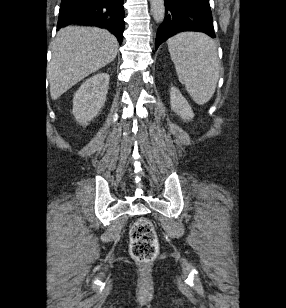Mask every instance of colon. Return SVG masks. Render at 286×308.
Wrapping results in <instances>:
<instances>
[{"instance_id":"obj_1","label":"colon","mask_w":286,"mask_h":308,"mask_svg":"<svg viewBox=\"0 0 286 308\" xmlns=\"http://www.w3.org/2000/svg\"><path fill=\"white\" fill-rule=\"evenodd\" d=\"M159 251L155 228L147 218L138 219L130 230V253L139 262L154 260Z\"/></svg>"}]
</instances>
